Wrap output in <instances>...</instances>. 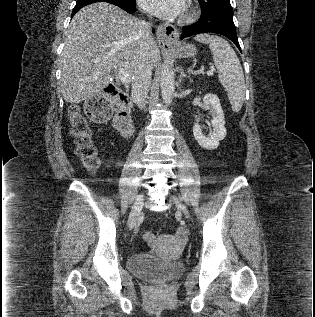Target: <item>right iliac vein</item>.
Segmentation results:
<instances>
[{"instance_id":"1","label":"right iliac vein","mask_w":315,"mask_h":317,"mask_svg":"<svg viewBox=\"0 0 315 317\" xmlns=\"http://www.w3.org/2000/svg\"><path fill=\"white\" fill-rule=\"evenodd\" d=\"M143 200H144L143 194H140L137 196L136 201L132 207L129 219H128V226L130 228L134 227L137 222V219L143 207Z\"/></svg>"}]
</instances>
